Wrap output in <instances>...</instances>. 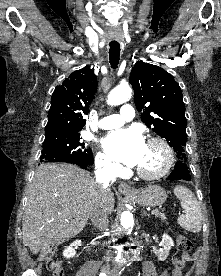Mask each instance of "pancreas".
Here are the masks:
<instances>
[{
  "mask_svg": "<svg viewBox=\"0 0 221 276\" xmlns=\"http://www.w3.org/2000/svg\"><path fill=\"white\" fill-rule=\"evenodd\" d=\"M156 216H157V217H160L163 221L166 219V217H165L164 214H157Z\"/></svg>",
  "mask_w": 221,
  "mask_h": 276,
  "instance_id": "pancreas-1",
  "label": "pancreas"
}]
</instances>
